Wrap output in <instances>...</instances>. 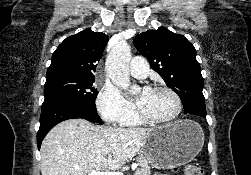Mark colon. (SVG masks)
Segmentation results:
<instances>
[{
	"mask_svg": "<svg viewBox=\"0 0 251 175\" xmlns=\"http://www.w3.org/2000/svg\"><path fill=\"white\" fill-rule=\"evenodd\" d=\"M176 169L181 170L184 175H203L202 170L198 166L190 163L184 164Z\"/></svg>",
	"mask_w": 251,
	"mask_h": 175,
	"instance_id": "obj_1",
	"label": "colon"
}]
</instances>
